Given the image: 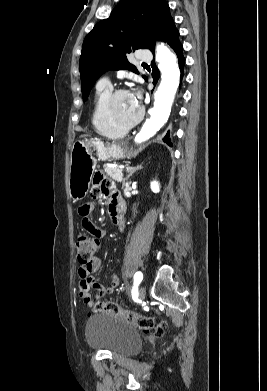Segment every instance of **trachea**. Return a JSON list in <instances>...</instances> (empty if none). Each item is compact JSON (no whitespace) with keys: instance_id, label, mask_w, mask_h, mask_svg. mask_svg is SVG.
<instances>
[{"instance_id":"1","label":"trachea","mask_w":267,"mask_h":391,"mask_svg":"<svg viewBox=\"0 0 267 391\" xmlns=\"http://www.w3.org/2000/svg\"><path fill=\"white\" fill-rule=\"evenodd\" d=\"M142 65H145V66H147V64H145V63H143Z\"/></svg>"}]
</instances>
